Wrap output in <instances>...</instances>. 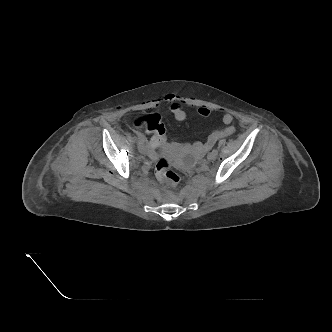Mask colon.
I'll return each instance as SVG.
<instances>
[{
  "label": "colon",
  "instance_id": "1",
  "mask_svg": "<svg viewBox=\"0 0 332 332\" xmlns=\"http://www.w3.org/2000/svg\"><path fill=\"white\" fill-rule=\"evenodd\" d=\"M138 125H144L145 128L153 133L157 143L160 146L166 144L165 127L158 114H149L137 120ZM157 179L170 187H175L180 182V176L171 168L169 161L165 158L160 159L155 168Z\"/></svg>",
  "mask_w": 332,
  "mask_h": 332
}]
</instances>
